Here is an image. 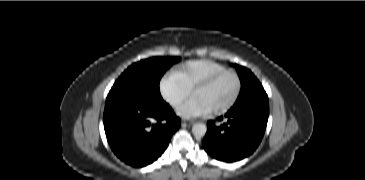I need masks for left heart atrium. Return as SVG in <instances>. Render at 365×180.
<instances>
[{
	"mask_svg": "<svg viewBox=\"0 0 365 180\" xmlns=\"http://www.w3.org/2000/svg\"><path fill=\"white\" fill-rule=\"evenodd\" d=\"M184 115L199 116L208 112V108L197 99L192 100L181 111Z\"/></svg>",
	"mask_w": 365,
	"mask_h": 180,
	"instance_id": "left-heart-atrium-1",
	"label": "left heart atrium"
}]
</instances>
